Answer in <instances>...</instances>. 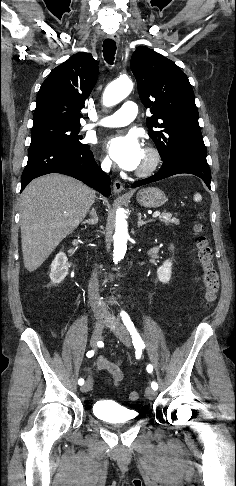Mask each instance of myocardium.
<instances>
[{"mask_svg": "<svg viewBox=\"0 0 236 486\" xmlns=\"http://www.w3.org/2000/svg\"><path fill=\"white\" fill-rule=\"evenodd\" d=\"M144 153L147 158L146 164L136 171V175L141 178L151 176L158 169L161 162V155L155 147H146Z\"/></svg>", "mask_w": 236, "mask_h": 486, "instance_id": "obj_1", "label": "myocardium"}]
</instances>
